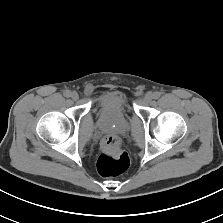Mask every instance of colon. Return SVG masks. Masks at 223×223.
<instances>
[{
  "instance_id": "obj_1",
  "label": "colon",
  "mask_w": 223,
  "mask_h": 223,
  "mask_svg": "<svg viewBox=\"0 0 223 223\" xmlns=\"http://www.w3.org/2000/svg\"><path fill=\"white\" fill-rule=\"evenodd\" d=\"M129 165V156L121 150L118 137L107 136L103 141V151L97 160L99 174L103 177H115L124 173Z\"/></svg>"
}]
</instances>
